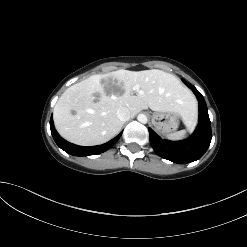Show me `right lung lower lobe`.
<instances>
[{
    "label": "right lung lower lobe",
    "instance_id": "obj_1",
    "mask_svg": "<svg viewBox=\"0 0 247 247\" xmlns=\"http://www.w3.org/2000/svg\"><path fill=\"white\" fill-rule=\"evenodd\" d=\"M50 129L51 134L56 142V144L65 152L74 155V156H89V155H97L107 151L111 146H113L117 140L120 138L122 132L118 134L115 138L110 140L109 142L99 145V146H90V147H83L78 146L72 143L67 142L64 140L55 130L53 119H50Z\"/></svg>",
    "mask_w": 247,
    "mask_h": 247
}]
</instances>
